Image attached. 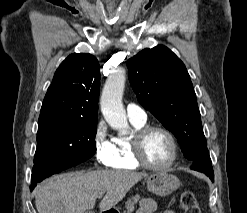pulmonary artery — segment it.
Segmentation results:
<instances>
[{
  "label": "pulmonary artery",
  "mask_w": 247,
  "mask_h": 213,
  "mask_svg": "<svg viewBox=\"0 0 247 213\" xmlns=\"http://www.w3.org/2000/svg\"><path fill=\"white\" fill-rule=\"evenodd\" d=\"M126 113L130 121L145 122L147 119L146 112L136 104H128Z\"/></svg>",
  "instance_id": "obj_1"
}]
</instances>
